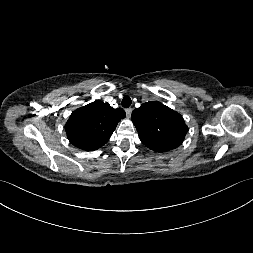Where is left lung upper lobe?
Instances as JSON below:
<instances>
[{"mask_svg": "<svg viewBox=\"0 0 253 253\" xmlns=\"http://www.w3.org/2000/svg\"><path fill=\"white\" fill-rule=\"evenodd\" d=\"M131 118L142 143L156 152L177 148L188 132L183 117L158 101L142 104Z\"/></svg>", "mask_w": 253, "mask_h": 253, "instance_id": "obj_1", "label": "left lung upper lobe"}]
</instances>
